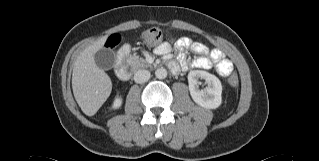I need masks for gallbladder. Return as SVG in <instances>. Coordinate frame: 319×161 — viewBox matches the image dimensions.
<instances>
[{"instance_id": "bac80fb5", "label": "gallbladder", "mask_w": 319, "mask_h": 161, "mask_svg": "<svg viewBox=\"0 0 319 161\" xmlns=\"http://www.w3.org/2000/svg\"><path fill=\"white\" fill-rule=\"evenodd\" d=\"M96 65L103 70H109L114 67L116 56L111 49L102 48L94 54Z\"/></svg>"}]
</instances>
